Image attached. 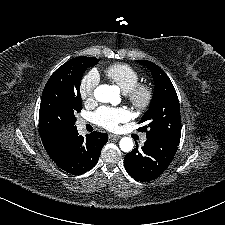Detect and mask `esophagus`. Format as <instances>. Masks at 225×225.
<instances>
[{"mask_svg": "<svg viewBox=\"0 0 225 225\" xmlns=\"http://www.w3.org/2000/svg\"><path fill=\"white\" fill-rule=\"evenodd\" d=\"M108 138H109L110 140H118V139L120 138V136L114 135V134H109V135H108Z\"/></svg>", "mask_w": 225, "mask_h": 225, "instance_id": "34e87169", "label": "esophagus"}]
</instances>
